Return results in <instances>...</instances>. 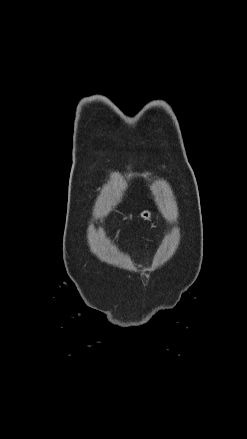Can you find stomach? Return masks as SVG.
<instances>
[{"mask_svg": "<svg viewBox=\"0 0 247 439\" xmlns=\"http://www.w3.org/2000/svg\"><path fill=\"white\" fill-rule=\"evenodd\" d=\"M151 215H152V213L149 210H145L141 213V216L147 220H150Z\"/></svg>", "mask_w": 247, "mask_h": 439, "instance_id": "0dacf381", "label": "stomach"}]
</instances>
